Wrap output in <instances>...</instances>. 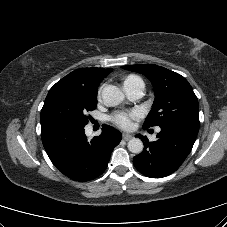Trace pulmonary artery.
Here are the masks:
<instances>
[{
  "mask_svg": "<svg viewBox=\"0 0 227 227\" xmlns=\"http://www.w3.org/2000/svg\"><path fill=\"white\" fill-rule=\"evenodd\" d=\"M144 89L145 86L141 80L124 84L125 93L130 99L133 100L142 97Z\"/></svg>",
  "mask_w": 227,
  "mask_h": 227,
  "instance_id": "1",
  "label": "pulmonary artery"
}]
</instances>
